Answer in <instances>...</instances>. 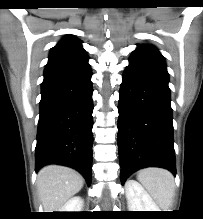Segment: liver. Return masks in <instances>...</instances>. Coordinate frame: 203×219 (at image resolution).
I'll return each mask as SVG.
<instances>
[{"instance_id":"6515ba94","label":"liver","mask_w":203,"mask_h":219,"mask_svg":"<svg viewBox=\"0 0 203 219\" xmlns=\"http://www.w3.org/2000/svg\"><path fill=\"white\" fill-rule=\"evenodd\" d=\"M83 184L82 175L69 167H43L37 176V189L45 212H60L64 204L81 190Z\"/></svg>"}]
</instances>
